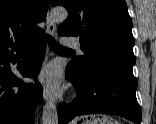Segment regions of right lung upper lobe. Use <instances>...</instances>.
<instances>
[{"label":"right lung upper lobe","mask_w":156,"mask_h":124,"mask_svg":"<svg viewBox=\"0 0 156 124\" xmlns=\"http://www.w3.org/2000/svg\"><path fill=\"white\" fill-rule=\"evenodd\" d=\"M49 0H0V46L24 43L43 30Z\"/></svg>","instance_id":"right-lung-upper-lobe-1"}]
</instances>
